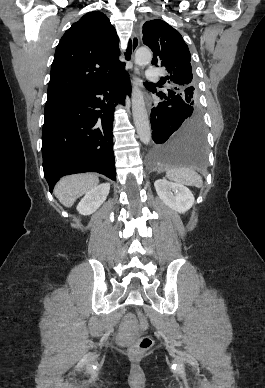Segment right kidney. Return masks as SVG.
<instances>
[{
	"mask_svg": "<svg viewBox=\"0 0 265 388\" xmlns=\"http://www.w3.org/2000/svg\"><path fill=\"white\" fill-rule=\"evenodd\" d=\"M109 190L110 184H100V186H96V188L87 192L77 206L79 214L89 216V214L96 212L102 206L103 202H105Z\"/></svg>",
	"mask_w": 265,
	"mask_h": 388,
	"instance_id": "right-kidney-1",
	"label": "right kidney"
}]
</instances>
